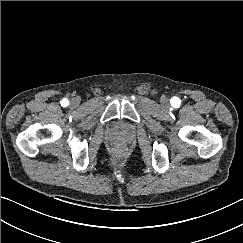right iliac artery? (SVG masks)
<instances>
[{"instance_id": "82829eb1", "label": "right iliac artery", "mask_w": 243, "mask_h": 243, "mask_svg": "<svg viewBox=\"0 0 243 243\" xmlns=\"http://www.w3.org/2000/svg\"><path fill=\"white\" fill-rule=\"evenodd\" d=\"M68 104H69V101L67 99H63L61 101V105L64 106V107H66Z\"/></svg>"}]
</instances>
